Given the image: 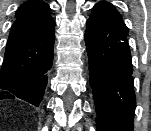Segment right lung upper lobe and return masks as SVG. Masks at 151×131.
I'll use <instances>...</instances> for the list:
<instances>
[{"label": "right lung upper lobe", "mask_w": 151, "mask_h": 131, "mask_svg": "<svg viewBox=\"0 0 151 131\" xmlns=\"http://www.w3.org/2000/svg\"><path fill=\"white\" fill-rule=\"evenodd\" d=\"M49 10L42 0H28L16 11L1 69V84L22 79L48 60L55 40V22Z\"/></svg>", "instance_id": "right-lung-upper-lobe-1"}]
</instances>
